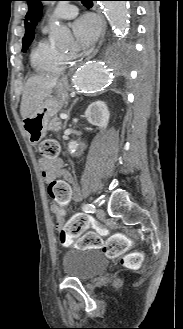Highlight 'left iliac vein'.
<instances>
[{"label": "left iliac vein", "mask_w": 183, "mask_h": 329, "mask_svg": "<svg viewBox=\"0 0 183 329\" xmlns=\"http://www.w3.org/2000/svg\"><path fill=\"white\" fill-rule=\"evenodd\" d=\"M96 216H97L98 219H104L105 212L102 209H97L96 210Z\"/></svg>", "instance_id": "1"}]
</instances>
